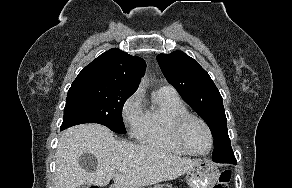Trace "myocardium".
<instances>
[{"label":"myocardium","instance_id":"f54148a6","mask_svg":"<svg viewBox=\"0 0 292 188\" xmlns=\"http://www.w3.org/2000/svg\"><path fill=\"white\" fill-rule=\"evenodd\" d=\"M193 120L200 122L204 126L206 131H207L210 144H209L208 150L206 152H204V153H198V152L193 151L187 145V143H186V141L184 139L185 127L187 126V124L190 121H193ZM172 131H173V136H174L176 142L178 143V145L188 154L195 155V156H206L213 149L214 138H213V133L211 131V128L203 118H201V117H199L197 115H194V114H191V113H187V114H184V115H181V116L177 117L173 122Z\"/></svg>","mask_w":292,"mask_h":188}]
</instances>
